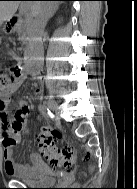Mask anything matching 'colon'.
Wrapping results in <instances>:
<instances>
[{"label": "colon", "instance_id": "1", "mask_svg": "<svg viewBox=\"0 0 137 189\" xmlns=\"http://www.w3.org/2000/svg\"><path fill=\"white\" fill-rule=\"evenodd\" d=\"M21 70L15 68L10 72L0 70V98L7 96L17 85ZM11 129L21 132L23 121L17 119L12 122ZM62 132L58 128H50L38 137V146L41 154L56 170L70 173L74 166V150L68 145L61 144Z\"/></svg>", "mask_w": 137, "mask_h": 189}]
</instances>
